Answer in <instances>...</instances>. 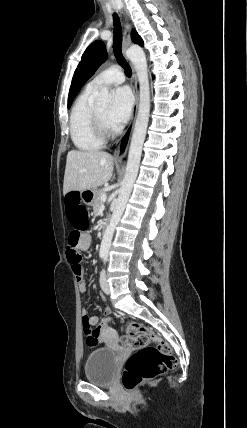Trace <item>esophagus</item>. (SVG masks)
I'll use <instances>...</instances> for the list:
<instances>
[{"label":"esophagus","instance_id":"1","mask_svg":"<svg viewBox=\"0 0 247 428\" xmlns=\"http://www.w3.org/2000/svg\"><path fill=\"white\" fill-rule=\"evenodd\" d=\"M130 35H131V25L129 24V22H126L125 30H124V40H123L122 52H123V55H124L126 61H128V62H129V60L127 59V57L125 55V50H126L127 45L130 42ZM129 64H130L131 69H132L131 85H132V90H133V93L135 96V104L133 107L130 122H129L126 130L124 131V133L122 134V136L118 140L117 145H116V149L114 151V159H115L116 163H121L123 158L125 157V155L127 153L129 142H130L131 135H132L133 128H134V124H135L137 107H138V91H137L136 74H135V70H134L131 62H129Z\"/></svg>","mask_w":247,"mask_h":428}]
</instances>
